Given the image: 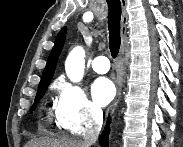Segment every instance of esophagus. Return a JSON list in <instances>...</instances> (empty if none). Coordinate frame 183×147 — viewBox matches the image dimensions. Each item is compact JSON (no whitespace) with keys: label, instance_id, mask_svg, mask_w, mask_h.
<instances>
[{"label":"esophagus","instance_id":"1","mask_svg":"<svg viewBox=\"0 0 183 147\" xmlns=\"http://www.w3.org/2000/svg\"><path fill=\"white\" fill-rule=\"evenodd\" d=\"M121 4L123 7L124 1H121ZM126 32H127V17L125 15V12L123 11L122 20H121V35H122V44H121V49H120L121 55H123L125 52L124 38H125ZM121 95H122V86L119 85L117 87L116 96L108 110V113H112L114 111V109L116 108L117 104L120 101Z\"/></svg>","mask_w":183,"mask_h":147}]
</instances>
